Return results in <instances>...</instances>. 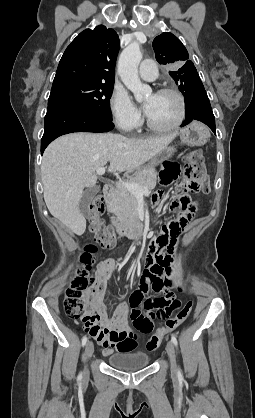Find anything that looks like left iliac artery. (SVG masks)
<instances>
[{
	"label": "left iliac artery",
	"mask_w": 255,
	"mask_h": 418,
	"mask_svg": "<svg viewBox=\"0 0 255 418\" xmlns=\"http://www.w3.org/2000/svg\"><path fill=\"white\" fill-rule=\"evenodd\" d=\"M171 340H172V342H173V344H174L175 346H177V345H178L177 339H176V337H175L174 335H172V336H171ZM178 376H179L180 378L182 377L181 370H179V371H178Z\"/></svg>",
	"instance_id": "obj_1"
}]
</instances>
